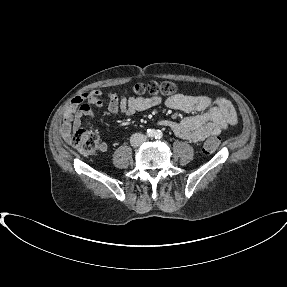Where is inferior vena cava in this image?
Returning <instances> with one entry per match:
<instances>
[{
	"label": "inferior vena cava",
	"instance_id": "inferior-vena-cava-1",
	"mask_svg": "<svg viewBox=\"0 0 287 287\" xmlns=\"http://www.w3.org/2000/svg\"><path fill=\"white\" fill-rule=\"evenodd\" d=\"M147 140V137L141 133H135L130 138V143L134 147L141 146L145 141Z\"/></svg>",
	"mask_w": 287,
	"mask_h": 287
}]
</instances>
